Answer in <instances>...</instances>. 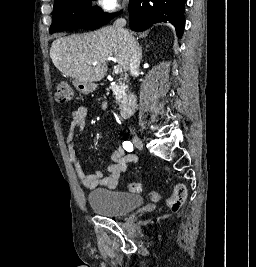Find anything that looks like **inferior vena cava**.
<instances>
[{"label": "inferior vena cava", "mask_w": 256, "mask_h": 267, "mask_svg": "<svg viewBox=\"0 0 256 267\" xmlns=\"http://www.w3.org/2000/svg\"><path fill=\"white\" fill-rule=\"evenodd\" d=\"M124 26H126V20H124V18H119V20H116V22H114L113 24V28H116L117 32H119V34H122V36H126L129 42L128 70H130V72H138L141 60L140 48L137 42H135V40H132L129 32H127V30H124Z\"/></svg>", "instance_id": "obj_1"}]
</instances>
